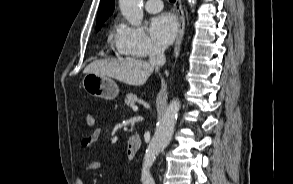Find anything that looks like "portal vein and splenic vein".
Masks as SVG:
<instances>
[{"label": "portal vein and splenic vein", "mask_w": 293, "mask_h": 184, "mask_svg": "<svg viewBox=\"0 0 293 184\" xmlns=\"http://www.w3.org/2000/svg\"><path fill=\"white\" fill-rule=\"evenodd\" d=\"M132 110H133L134 112H136V111H138V107H137V106H133V107H132Z\"/></svg>", "instance_id": "obj_1"}]
</instances>
